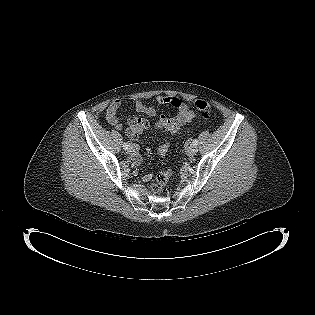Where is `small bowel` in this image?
Segmentation results:
<instances>
[{
  "instance_id": "small-bowel-1",
  "label": "small bowel",
  "mask_w": 315,
  "mask_h": 315,
  "mask_svg": "<svg viewBox=\"0 0 315 315\" xmlns=\"http://www.w3.org/2000/svg\"><path fill=\"white\" fill-rule=\"evenodd\" d=\"M156 101L159 104H167L176 110V115L174 117H168L165 115H161L156 123V127L166 133H176L179 128L189 123L195 117V112L190 108L189 103L181 100L175 96H164L158 95L156 96ZM123 101L121 99H116L108 106L106 110V120L109 124L113 125L117 129H121L122 125L117 117L118 110L122 107ZM135 109L137 112L145 114L150 117H156L157 111L154 107L145 104L142 100H135ZM150 125L148 119L143 118L138 122L131 124L126 133L129 137L135 138L140 133H142L145 129H147ZM137 134V135H136ZM134 151L132 153V159L135 163H141L142 157L138 153L137 148L135 146ZM169 145L167 143L163 144L159 150L160 156H164L168 151ZM152 174L150 172H146L142 175V180L147 182L151 180Z\"/></svg>"
}]
</instances>
